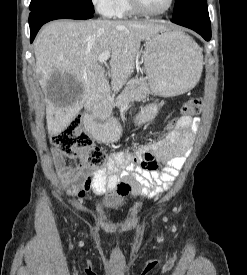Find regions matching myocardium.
Here are the masks:
<instances>
[{
	"label": "myocardium",
	"instance_id": "obj_1",
	"mask_svg": "<svg viewBox=\"0 0 247 275\" xmlns=\"http://www.w3.org/2000/svg\"><path fill=\"white\" fill-rule=\"evenodd\" d=\"M129 2L136 13L146 16H159L167 13L173 7L175 0H170L168 6L160 11L149 10L142 0H129Z\"/></svg>",
	"mask_w": 247,
	"mask_h": 275
}]
</instances>
